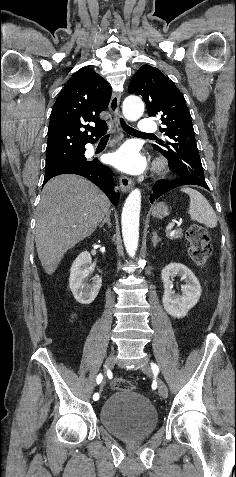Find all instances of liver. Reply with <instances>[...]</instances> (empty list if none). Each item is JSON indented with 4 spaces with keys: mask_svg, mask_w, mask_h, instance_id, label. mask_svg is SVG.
<instances>
[{
    "mask_svg": "<svg viewBox=\"0 0 236 477\" xmlns=\"http://www.w3.org/2000/svg\"><path fill=\"white\" fill-rule=\"evenodd\" d=\"M109 209L107 196L80 176L59 175L45 184L37 208L35 243L47 274H53L65 253L95 231Z\"/></svg>",
    "mask_w": 236,
    "mask_h": 477,
    "instance_id": "1",
    "label": "liver"
}]
</instances>
